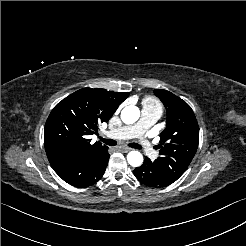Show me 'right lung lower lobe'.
Returning <instances> with one entry per match:
<instances>
[{
  "label": "right lung lower lobe",
  "instance_id": "right-lung-lower-lobe-1",
  "mask_svg": "<svg viewBox=\"0 0 246 246\" xmlns=\"http://www.w3.org/2000/svg\"><path fill=\"white\" fill-rule=\"evenodd\" d=\"M108 147L82 156L60 155L49 159L55 172L68 184L86 187L97 182L109 161Z\"/></svg>",
  "mask_w": 246,
  "mask_h": 246
}]
</instances>
